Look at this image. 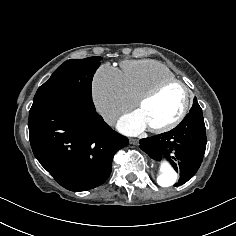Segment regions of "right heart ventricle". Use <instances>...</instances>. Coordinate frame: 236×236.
Masks as SVG:
<instances>
[{"instance_id": "e07e8e85", "label": "right heart ventricle", "mask_w": 236, "mask_h": 236, "mask_svg": "<svg viewBox=\"0 0 236 236\" xmlns=\"http://www.w3.org/2000/svg\"><path fill=\"white\" fill-rule=\"evenodd\" d=\"M123 76L133 100L140 98L158 82L176 78L164 63L155 60H126L122 63Z\"/></svg>"}]
</instances>
